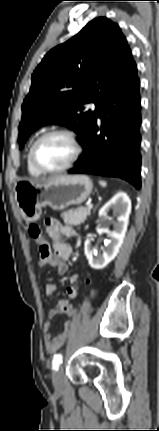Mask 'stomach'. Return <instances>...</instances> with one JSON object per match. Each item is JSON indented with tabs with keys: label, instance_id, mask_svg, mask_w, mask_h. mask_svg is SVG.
Returning <instances> with one entry per match:
<instances>
[{
	"label": "stomach",
	"instance_id": "stomach-1",
	"mask_svg": "<svg viewBox=\"0 0 159 431\" xmlns=\"http://www.w3.org/2000/svg\"><path fill=\"white\" fill-rule=\"evenodd\" d=\"M93 183L88 176H57L44 183L22 180L15 185V199L27 222L40 218L42 208L63 210L83 203L91 194Z\"/></svg>",
	"mask_w": 159,
	"mask_h": 431
}]
</instances>
